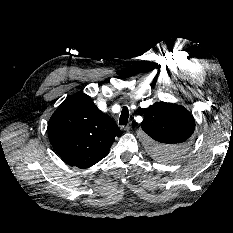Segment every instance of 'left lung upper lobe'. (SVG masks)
Listing matches in <instances>:
<instances>
[{"label": "left lung upper lobe", "instance_id": "obj_1", "mask_svg": "<svg viewBox=\"0 0 233 233\" xmlns=\"http://www.w3.org/2000/svg\"><path fill=\"white\" fill-rule=\"evenodd\" d=\"M141 127L149 136L152 153L161 158L174 159L189 148L195 121L182 106L156 102L144 110Z\"/></svg>", "mask_w": 233, "mask_h": 233}]
</instances>
